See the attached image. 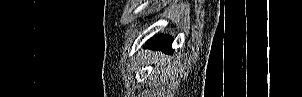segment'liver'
I'll list each match as a JSON object with an SVG mask.
<instances>
[{"label": "liver", "instance_id": "6515ba94", "mask_svg": "<svg viewBox=\"0 0 302 97\" xmlns=\"http://www.w3.org/2000/svg\"><path fill=\"white\" fill-rule=\"evenodd\" d=\"M158 56H160V54H159ZM167 60H168V57H165V58L163 59V62H166Z\"/></svg>", "mask_w": 302, "mask_h": 97}]
</instances>
